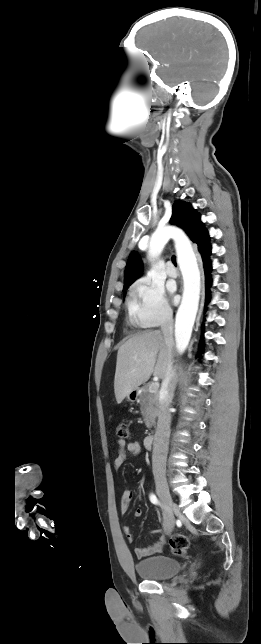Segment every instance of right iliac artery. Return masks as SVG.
<instances>
[{"label":"right iliac artery","mask_w":261,"mask_h":644,"mask_svg":"<svg viewBox=\"0 0 261 644\" xmlns=\"http://www.w3.org/2000/svg\"><path fill=\"white\" fill-rule=\"evenodd\" d=\"M150 501L155 505H160L159 500L157 499V497L154 494L150 495Z\"/></svg>","instance_id":"82829eb1"}]
</instances>
